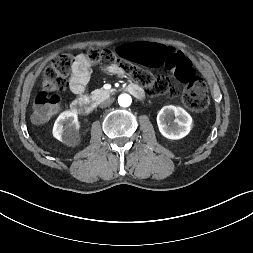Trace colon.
<instances>
[{
    "label": "colon",
    "mask_w": 253,
    "mask_h": 253,
    "mask_svg": "<svg viewBox=\"0 0 253 253\" xmlns=\"http://www.w3.org/2000/svg\"><path fill=\"white\" fill-rule=\"evenodd\" d=\"M84 56L91 63L104 67L118 66L144 86L151 95H177L179 87L176 82H172L166 76L134 66L133 63L145 68H158L169 76H176L178 81L185 84L182 99L186 107L199 112L209 104L205 82L195 75L190 59L178 48H169L157 41L149 40L122 43L116 50L91 48ZM74 61L73 56L62 54L55 57L44 69L42 89L34 102L33 118L37 123H45L57 112L60 103L58 93L66 88Z\"/></svg>",
    "instance_id": "1"
}]
</instances>
